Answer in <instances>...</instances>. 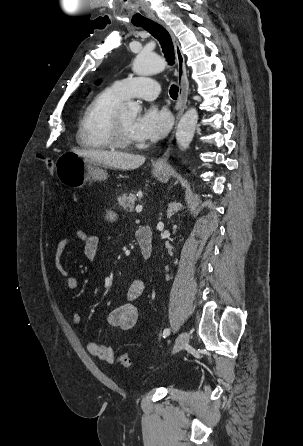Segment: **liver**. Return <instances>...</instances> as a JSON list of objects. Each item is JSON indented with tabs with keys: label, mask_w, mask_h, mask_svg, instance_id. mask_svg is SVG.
I'll use <instances>...</instances> for the list:
<instances>
[{
	"label": "liver",
	"mask_w": 303,
	"mask_h": 446,
	"mask_svg": "<svg viewBox=\"0 0 303 446\" xmlns=\"http://www.w3.org/2000/svg\"><path fill=\"white\" fill-rule=\"evenodd\" d=\"M71 152L99 165L120 170H134L145 162V157L142 155L123 152L80 150L75 148L71 149Z\"/></svg>",
	"instance_id": "liver-1"
}]
</instances>
